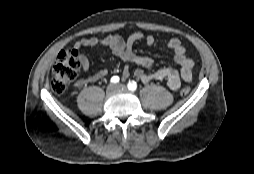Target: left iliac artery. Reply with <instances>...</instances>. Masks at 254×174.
I'll list each match as a JSON object with an SVG mask.
<instances>
[{
  "instance_id": "obj_1",
  "label": "left iliac artery",
  "mask_w": 254,
  "mask_h": 174,
  "mask_svg": "<svg viewBox=\"0 0 254 174\" xmlns=\"http://www.w3.org/2000/svg\"><path fill=\"white\" fill-rule=\"evenodd\" d=\"M127 87L129 90L135 91L137 89V83L135 81L129 82Z\"/></svg>"
}]
</instances>
